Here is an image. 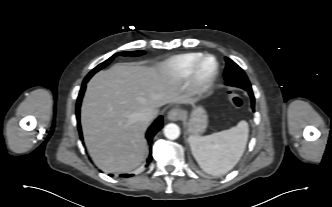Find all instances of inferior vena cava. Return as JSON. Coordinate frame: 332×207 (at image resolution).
I'll return each mask as SVG.
<instances>
[{
    "mask_svg": "<svg viewBox=\"0 0 332 207\" xmlns=\"http://www.w3.org/2000/svg\"><path fill=\"white\" fill-rule=\"evenodd\" d=\"M155 116V110L152 108H144L137 113L138 119L143 123L150 122Z\"/></svg>",
    "mask_w": 332,
    "mask_h": 207,
    "instance_id": "inferior-vena-cava-1",
    "label": "inferior vena cava"
}]
</instances>
